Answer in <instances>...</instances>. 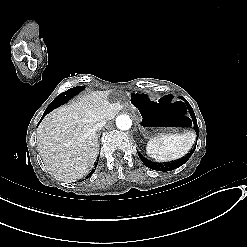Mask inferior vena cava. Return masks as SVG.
I'll list each match as a JSON object with an SVG mask.
<instances>
[{
    "mask_svg": "<svg viewBox=\"0 0 247 247\" xmlns=\"http://www.w3.org/2000/svg\"><path fill=\"white\" fill-rule=\"evenodd\" d=\"M106 121L105 120H102L100 122H98L96 125H95V129L96 130H99V129H102L105 125H106Z\"/></svg>",
    "mask_w": 247,
    "mask_h": 247,
    "instance_id": "obj_1",
    "label": "inferior vena cava"
}]
</instances>
